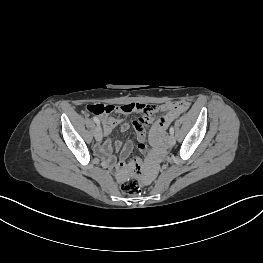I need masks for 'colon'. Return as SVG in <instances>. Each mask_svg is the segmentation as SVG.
Segmentation results:
<instances>
[{"label":"colon","mask_w":263,"mask_h":263,"mask_svg":"<svg viewBox=\"0 0 263 263\" xmlns=\"http://www.w3.org/2000/svg\"><path fill=\"white\" fill-rule=\"evenodd\" d=\"M169 103L176 104L177 111H179L180 113L185 111L188 107L187 103L184 101H175ZM167 107H168L167 101H162L161 103H145V104L126 102L115 107L113 104H93L87 107V111L92 114L101 115L104 113H109L114 110L115 113H121V114H126L127 116H133L134 114L159 113L160 110H164ZM169 116L171 117L172 115ZM157 119L162 120L161 117H158ZM152 126H154V122ZM162 132H164V130ZM149 140H150V134H149ZM161 162H162V157L160 156V161L156 164H160ZM120 189L125 194H130V195L136 194L140 191V183L136 179H129L121 183Z\"/></svg>","instance_id":"5ec220e1"}]
</instances>
